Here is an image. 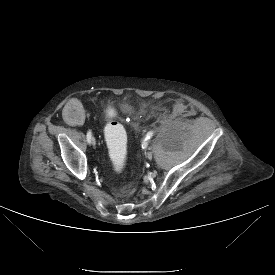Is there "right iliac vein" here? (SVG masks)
Wrapping results in <instances>:
<instances>
[{
  "instance_id": "right-iliac-vein-1",
  "label": "right iliac vein",
  "mask_w": 275,
  "mask_h": 275,
  "mask_svg": "<svg viewBox=\"0 0 275 275\" xmlns=\"http://www.w3.org/2000/svg\"><path fill=\"white\" fill-rule=\"evenodd\" d=\"M91 144H92V145H95V144H96V140H95L94 137H91Z\"/></svg>"
}]
</instances>
